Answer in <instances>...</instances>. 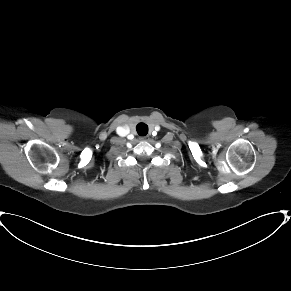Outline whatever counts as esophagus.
<instances>
[{
    "mask_svg": "<svg viewBox=\"0 0 291 291\" xmlns=\"http://www.w3.org/2000/svg\"><path fill=\"white\" fill-rule=\"evenodd\" d=\"M141 139L149 140V138L147 136L141 137Z\"/></svg>",
    "mask_w": 291,
    "mask_h": 291,
    "instance_id": "esophagus-1",
    "label": "esophagus"
}]
</instances>
